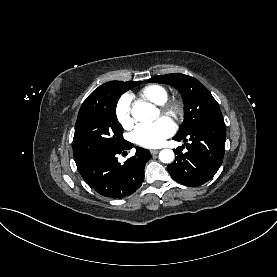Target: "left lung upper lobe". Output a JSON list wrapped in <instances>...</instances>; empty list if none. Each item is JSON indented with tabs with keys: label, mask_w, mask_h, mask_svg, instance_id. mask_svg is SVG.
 Here are the masks:
<instances>
[{
	"label": "left lung upper lobe",
	"mask_w": 277,
	"mask_h": 277,
	"mask_svg": "<svg viewBox=\"0 0 277 277\" xmlns=\"http://www.w3.org/2000/svg\"><path fill=\"white\" fill-rule=\"evenodd\" d=\"M148 82L164 83L177 88L185 102V119L174 137H183L192 132L200 123L222 115L218 103L208 89L197 79L180 73L154 76Z\"/></svg>",
	"instance_id": "1"
}]
</instances>
